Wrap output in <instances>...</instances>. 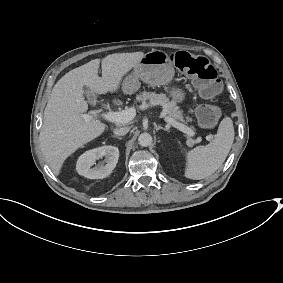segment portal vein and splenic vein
Listing matches in <instances>:
<instances>
[{
  "mask_svg": "<svg viewBox=\"0 0 283 283\" xmlns=\"http://www.w3.org/2000/svg\"><path fill=\"white\" fill-rule=\"evenodd\" d=\"M136 115V109L131 107L126 110L120 111V112H113L110 111L107 114H104V118L110 122L114 123H128L130 122ZM164 113H161L160 117H164ZM91 116H87V118H90ZM165 121L168 123H171L175 128L179 129L183 133L187 134L188 136H194L195 132L189 128L188 126L179 123L172 118L165 117ZM212 136L208 135L206 136V140H211ZM201 137H198L196 142H201Z\"/></svg>",
  "mask_w": 283,
  "mask_h": 283,
  "instance_id": "obj_1",
  "label": "portal vein and splenic vein"
}]
</instances>
